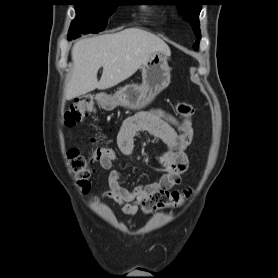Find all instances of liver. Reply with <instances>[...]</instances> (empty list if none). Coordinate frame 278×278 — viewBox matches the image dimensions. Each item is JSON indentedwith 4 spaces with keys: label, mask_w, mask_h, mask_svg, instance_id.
Returning <instances> with one entry per match:
<instances>
[{
    "label": "liver",
    "mask_w": 278,
    "mask_h": 278,
    "mask_svg": "<svg viewBox=\"0 0 278 278\" xmlns=\"http://www.w3.org/2000/svg\"><path fill=\"white\" fill-rule=\"evenodd\" d=\"M157 51L169 53L170 49L158 36L138 28L77 41L71 51L73 71L66 85L65 99L118 85ZM100 67L103 73L98 81Z\"/></svg>",
    "instance_id": "obj_1"
}]
</instances>
